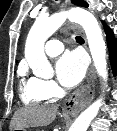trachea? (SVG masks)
Returning <instances> with one entry per match:
<instances>
[{
  "label": "trachea",
  "instance_id": "1",
  "mask_svg": "<svg viewBox=\"0 0 117 131\" xmlns=\"http://www.w3.org/2000/svg\"><path fill=\"white\" fill-rule=\"evenodd\" d=\"M75 39H76V41L78 43H83L84 42V39L82 37H80V36H76Z\"/></svg>",
  "mask_w": 117,
  "mask_h": 131
}]
</instances>
